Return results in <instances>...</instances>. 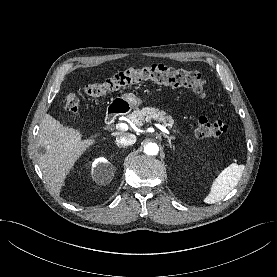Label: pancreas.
Here are the masks:
<instances>
[{
	"label": "pancreas",
	"instance_id": "cf45deb5",
	"mask_svg": "<svg viewBox=\"0 0 277 277\" xmlns=\"http://www.w3.org/2000/svg\"><path fill=\"white\" fill-rule=\"evenodd\" d=\"M148 116L158 117L159 120L168 128H173L174 120L171 116L167 115L164 111L157 108L145 107L142 109L134 110L128 117L137 126H142Z\"/></svg>",
	"mask_w": 277,
	"mask_h": 277
}]
</instances>
